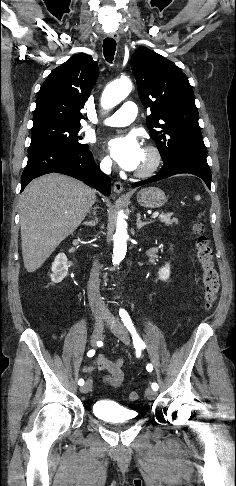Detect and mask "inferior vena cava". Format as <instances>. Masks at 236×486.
<instances>
[{
  "label": "inferior vena cava",
  "instance_id": "1",
  "mask_svg": "<svg viewBox=\"0 0 236 486\" xmlns=\"http://www.w3.org/2000/svg\"><path fill=\"white\" fill-rule=\"evenodd\" d=\"M112 161L111 160H104L100 164V169L104 173H109L111 170ZM100 281H99V264L97 261L93 263V267L90 273L88 287H87V294L90 307L94 313H100L102 311L100 305Z\"/></svg>",
  "mask_w": 236,
  "mask_h": 486
}]
</instances>
